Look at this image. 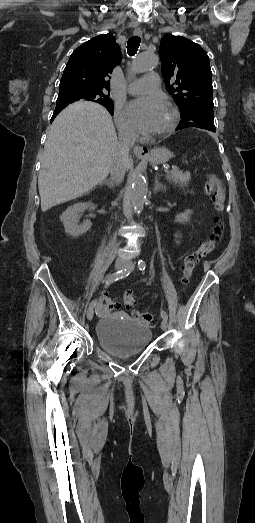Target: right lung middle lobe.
<instances>
[{
  "instance_id": "1",
  "label": "right lung middle lobe",
  "mask_w": 255,
  "mask_h": 523,
  "mask_svg": "<svg viewBox=\"0 0 255 523\" xmlns=\"http://www.w3.org/2000/svg\"><path fill=\"white\" fill-rule=\"evenodd\" d=\"M108 96H109V94L102 93V92H92V91H85V90H79V89H67V90H60L56 103H58V102L72 103V102L80 100V99H86L88 101H94V102L100 103L103 101L111 100Z\"/></svg>"
}]
</instances>
